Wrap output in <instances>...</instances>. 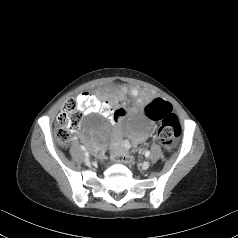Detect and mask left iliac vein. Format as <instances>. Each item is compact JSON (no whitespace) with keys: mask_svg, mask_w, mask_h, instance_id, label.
<instances>
[{"mask_svg":"<svg viewBox=\"0 0 238 238\" xmlns=\"http://www.w3.org/2000/svg\"><path fill=\"white\" fill-rule=\"evenodd\" d=\"M149 167H150V163L149 162L145 161V162L142 163V168L144 170L148 169Z\"/></svg>","mask_w":238,"mask_h":238,"instance_id":"obj_1","label":"left iliac vein"}]
</instances>
